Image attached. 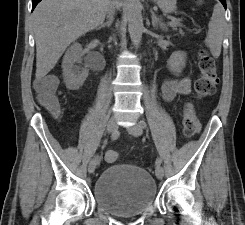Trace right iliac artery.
<instances>
[{
  "mask_svg": "<svg viewBox=\"0 0 245 225\" xmlns=\"http://www.w3.org/2000/svg\"><path fill=\"white\" fill-rule=\"evenodd\" d=\"M118 137H119V132L116 131V132H114V133L112 134L111 140L114 141V140H116ZM95 162H96V165H99L100 162H101V156H97V157L95 158Z\"/></svg>",
  "mask_w": 245,
  "mask_h": 225,
  "instance_id": "82829eb1",
  "label": "right iliac artery"
}]
</instances>
